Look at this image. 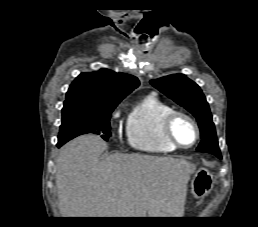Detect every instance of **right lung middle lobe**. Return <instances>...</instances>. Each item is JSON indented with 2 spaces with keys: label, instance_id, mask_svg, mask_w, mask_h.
<instances>
[{
  "label": "right lung middle lobe",
  "instance_id": "dd1d6c3e",
  "mask_svg": "<svg viewBox=\"0 0 258 227\" xmlns=\"http://www.w3.org/2000/svg\"><path fill=\"white\" fill-rule=\"evenodd\" d=\"M116 106H97L78 101H65L58 142L66 143L87 133L99 135L107 141L111 135L110 116Z\"/></svg>",
  "mask_w": 258,
  "mask_h": 227
}]
</instances>
